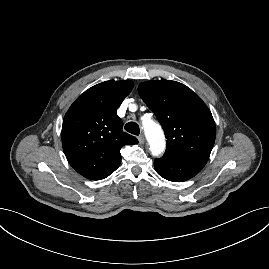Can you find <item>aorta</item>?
Returning a JSON list of instances; mask_svg holds the SVG:
<instances>
[{
    "mask_svg": "<svg viewBox=\"0 0 269 269\" xmlns=\"http://www.w3.org/2000/svg\"><path fill=\"white\" fill-rule=\"evenodd\" d=\"M142 125L151 154L156 157L162 155L166 147L163 130L155 121L150 119H143Z\"/></svg>",
    "mask_w": 269,
    "mask_h": 269,
    "instance_id": "aorta-1",
    "label": "aorta"
}]
</instances>
